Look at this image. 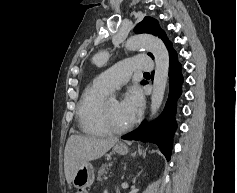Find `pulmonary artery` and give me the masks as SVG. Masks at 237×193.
Wrapping results in <instances>:
<instances>
[{
  "label": "pulmonary artery",
  "mask_w": 237,
  "mask_h": 193,
  "mask_svg": "<svg viewBox=\"0 0 237 193\" xmlns=\"http://www.w3.org/2000/svg\"><path fill=\"white\" fill-rule=\"evenodd\" d=\"M153 62L148 56L128 58L120 61L113 68L99 74L96 81L110 91L125 84L133 71H152Z\"/></svg>",
  "instance_id": "obj_1"
}]
</instances>
